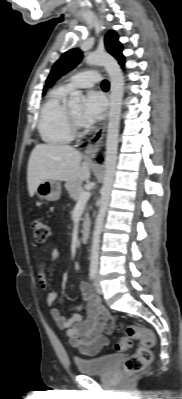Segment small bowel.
Masks as SVG:
<instances>
[{"label":"small bowel","instance_id":"1","mask_svg":"<svg viewBox=\"0 0 182 399\" xmlns=\"http://www.w3.org/2000/svg\"><path fill=\"white\" fill-rule=\"evenodd\" d=\"M61 260V252L53 249L49 255L39 262L37 266L38 281L41 288L47 290L49 283L46 274L48 263ZM81 303L70 309L69 315L52 308L51 318L56 326L66 331L70 344L86 355H96L104 347L109 345V337L114 329L115 320L100 305L99 298L93 293L88 282L79 285ZM57 292L50 291L46 297V303L51 306L57 300ZM86 305L87 316L83 317L79 310Z\"/></svg>","mask_w":182,"mask_h":399}]
</instances>
